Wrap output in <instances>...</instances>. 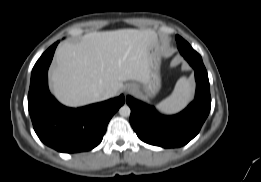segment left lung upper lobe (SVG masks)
I'll use <instances>...</instances> for the list:
<instances>
[{"instance_id":"1","label":"left lung upper lobe","mask_w":261,"mask_h":182,"mask_svg":"<svg viewBox=\"0 0 261 182\" xmlns=\"http://www.w3.org/2000/svg\"><path fill=\"white\" fill-rule=\"evenodd\" d=\"M177 47L182 55L198 54L182 37L176 35Z\"/></svg>"}]
</instances>
